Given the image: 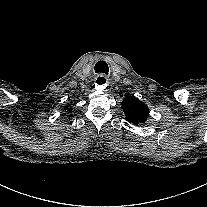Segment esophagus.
Returning <instances> with one entry per match:
<instances>
[{"mask_svg":"<svg viewBox=\"0 0 207 207\" xmlns=\"http://www.w3.org/2000/svg\"><path fill=\"white\" fill-rule=\"evenodd\" d=\"M95 84L98 89H105L107 87V80L104 75H97L95 77Z\"/></svg>","mask_w":207,"mask_h":207,"instance_id":"34e87169","label":"esophagus"}]
</instances>
